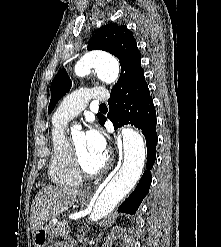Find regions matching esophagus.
I'll use <instances>...</instances> for the list:
<instances>
[{
  "label": "esophagus",
  "mask_w": 221,
  "mask_h": 247,
  "mask_svg": "<svg viewBox=\"0 0 221 247\" xmlns=\"http://www.w3.org/2000/svg\"><path fill=\"white\" fill-rule=\"evenodd\" d=\"M90 191H91V187H90V186L85 187V188L82 190L83 193H88V192H90Z\"/></svg>",
  "instance_id": "34e87169"
}]
</instances>
